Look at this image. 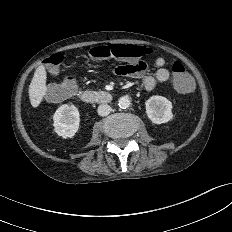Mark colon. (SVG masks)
I'll list each match as a JSON object with an SVG mask.
<instances>
[{
	"mask_svg": "<svg viewBox=\"0 0 232 232\" xmlns=\"http://www.w3.org/2000/svg\"><path fill=\"white\" fill-rule=\"evenodd\" d=\"M152 53L150 48L140 45L109 44L96 46L89 50L87 55L93 59H119L127 62L126 66L137 67L141 59ZM65 58L63 53H54L45 59L46 67L50 73L56 72L58 66ZM173 85L180 93H188L193 88V79L180 62H175L172 66ZM77 88L72 77L65 78L62 82L55 84L48 89V97L53 101L63 100L72 95Z\"/></svg>",
	"mask_w": 232,
	"mask_h": 232,
	"instance_id": "5ec220e1",
	"label": "colon"
}]
</instances>
